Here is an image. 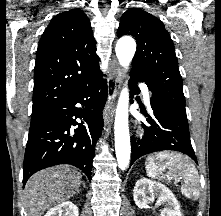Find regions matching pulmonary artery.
<instances>
[{
    "mask_svg": "<svg viewBox=\"0 0 221 216\" xmlns=\"http://www.w3.org/2000/svg\"><path fill=\"white\" fill-rule=\"evenodd\" d=\"M143 92H144L145 102L148 104L150 102V93L146 87H143Z\"/></svg>",
    "mask_w": 221,
    "mask_h": 216,
    "instance_id": "e3ab8cb5",
    "label": "pulmonary artery"
}]
</instances>
